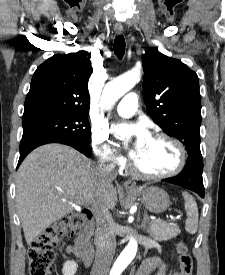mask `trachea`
I'll return each mask as SVG.
<instances>
[{"mask_svg": "<svg viewBox=\"0 0 225 275\" xmlns=\"http://www.w3.org/2000/svg\"><path fill=\"white\" fill-rule=\"evenodd\" d=\"M125 52V39L122 35L117 36L114 41V53L119 58L122 59Z\"/></svg>", "mask_w": 225, "mask_h": 275, "instance_id": "obj_1", "label": "trachea"}]
</instances>
